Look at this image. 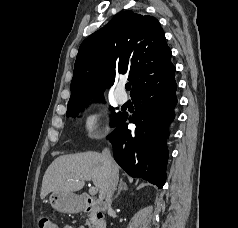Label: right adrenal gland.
I'll list each match as a JSON object with an SVG mask.
<instances>
[{
  "mask_svg": "<svg viewBox=\"0 0 238 228\" xmlns=\"http://www.w3.org/2000/svg\"><path fill=\"white\" fill-rule=\"evenodd\" d=\"M122 190H124V191H125V190H128V187H127V184H126V183L123 181V179L121 178V179H120V183H119V187H118V191H117L115 197L113 198V200L118 197V195L120 194V192H121Z\"/></svg>",
  "mask_w": 238,
  "mask_h": 228,
  "instance_id": "obj_1",
  "label": "right adrenal gland"
}]
</instances>
